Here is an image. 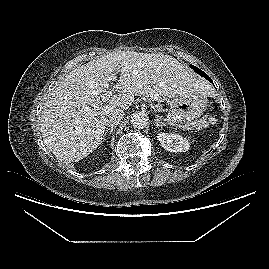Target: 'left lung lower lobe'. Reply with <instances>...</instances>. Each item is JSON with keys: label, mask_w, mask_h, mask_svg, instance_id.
Returning <instances> with one entry per match:
<instances>
[{"label": "left lung lower lobe", "mask_w": 269, "mask_h": 269, "mask_svg": "<svg viewBox=\"0 0 269 269\" xmlns=\"http://www.w3.org/2000/svg\"><path fill=\"white\" fill-rule=\"evenodd\" d=\"M194 70H195L196 73H198L199 75L205 77L207 80H209L211 83H213L212 80H211V78L208 77V75L205 74L202 70H200L198 68H194Z\"/></svg>", "instance_id": "1"}]
</instances>
